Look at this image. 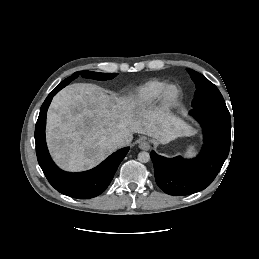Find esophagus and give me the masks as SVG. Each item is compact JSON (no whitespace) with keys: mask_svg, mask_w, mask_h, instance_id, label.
<instances>
[{"mask_svg":"<svg viewBox=\"0 0 259 259\" xmlns=\"http://www.w3.org/2000/svg\"><path fill=\"white\" fill-rule=\"evenodd\" d=\"M138 147L142 150H149L150 149V143L146 140H141L139 143H138Z\"/></svg>","mask_w":259,"mask_h":259,"instance_id":"34e87169","label":"esophagus"}]
</instances>
